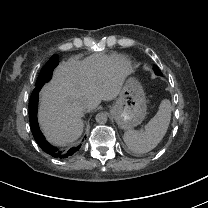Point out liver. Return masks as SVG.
Returning <instances> with one entry per match:
<instances>
[{
  "mask_svg": "<svg viewBox=\"0 0 208 208\" xmlns=\"http://www.w3.org/2000/svg\"><path fill=\"white\" fill-rule=\"evenodd\" d=\"M133 71L122 55L92 54L62 62L40 93L38 120L48 141L63 146L77 140L83 132V111L116 98Z\"/></svg>",
  "mask_w": 208,
  "mask_h": 208,
  "instance_id": "liver-1",
  "label": "liver"
}]
</instances>
